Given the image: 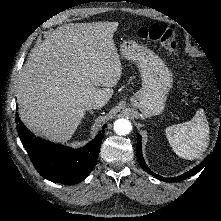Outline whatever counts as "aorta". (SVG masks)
<instances>
[{"instance_id": "762f6f07", "label": "aorta", "mask_w": 221, "mask_h": 221, "mask_svg": "<svg viewBox=\"0 0 221 221\" xmlns=\"http://www.w3.org/2000/svg\"><path fill=\"white\" fill-rule=\"evenodd\" d=\"M132 130L131 122L127 119H118L114 123V131L118 135L129 134Z\"/></svg>"}]
</instances>
